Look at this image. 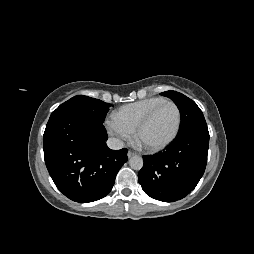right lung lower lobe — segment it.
<instances>
[{
  "instance_id": "right-lung-lower-lobe-1",
  "label": "right lung lower lobe",
  "mask_w": 254,
  "mask_h": 254,
  "mask_svg": "<svg viewBox=\"0 0 254 254\" xmlns=\"http://www.w3.org/2000/svg\"><path fill=\"white\" fill-rule=\"evenodd\" d=\"M102 123L77 114L50 117L43 136L48 172L57 188L79 203L105 197L128 160L127 149L111 150Z\"/></svg>"
}]
</instances>
